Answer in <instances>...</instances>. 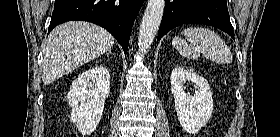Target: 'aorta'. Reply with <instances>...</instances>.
Segmentation results:
<instances>
[{
    "label": "aorta",
    "instance_id": "1",
    "mask_svg": "<svg viewBox=\"0 0 280 137\" xmlns=\"http://www.w3.org/2000/svg\"><path fill=\"white\" fill-rule=\"evenodd\" d=\"M164 0H149L144 12L138 36V46L142 53L150 48L159 29L164 13Z\"/></svg>",
    "mask_w": 280,
    "mask_h": 137
}]
</instances>
